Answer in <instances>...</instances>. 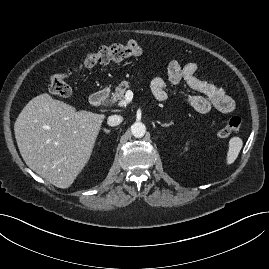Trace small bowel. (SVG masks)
<instances>
[{"label":"small bowel","instance_id":"small-bowel-1","mask_svg":"<svg viewBox=\"0 0 269 269\" xmlns=\"http://www.w3.org/2000/svg\"><path fill=\"white\" fill-rule=\"evenodd\" d=\"M198 66L194 62L184 65L177 60H171L167 65V78L172 84L181 81L198 92L199 94L190 95L186 98V104L199 113H207L212 109L222 113H229L234 110V100L221 88L212 83L201 80L196 76ZM166 81L163 78H154L151 82V90L157 100L166 99Z\"/></svg>","mask_w":269,"mask_h":269}]
</instances>
